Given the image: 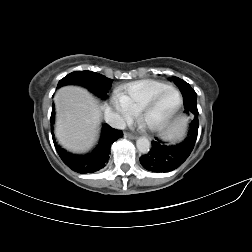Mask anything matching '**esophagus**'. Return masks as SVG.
Wrapping results in <instances>:
<instances>
[{"label": "esophagus", "instance_id": "obj_1", "mask_svg": "<svg viewBox=\"0 0 252 252\" xmlns=\"http://www.w3.org/2000/svg\"><path fill=\"white\" fill-rule=\"evenodd\" d=\"M124 137L125 138H128V139H131V140H134L136 139V137L130 133H124Z\"/></svg>", "mask_w": 252, "mask_h": 252}]
</instances>
